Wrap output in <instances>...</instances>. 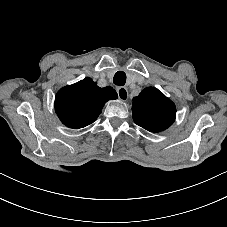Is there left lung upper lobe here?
Returning a JSON list of instances; mask_svg holds the SVG:
<instances>
[{
  "mask_svg": "<svg viewBox=\"0 0 227 227\" xmlns=\"http://www.w3.org/2000/svg\"><path fill=\"white\" fill-rule=\"evenodd\" d=\"M134 122L151 132L167 129L175 120L174 103L155 87L145 88L133 99Z\"/></svg>",
  "mask_w": 227,
  "mask_h": 227,
  "instance_id": "1",
  "label": "left lung upper lobe"
}]
</instances>
